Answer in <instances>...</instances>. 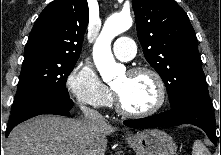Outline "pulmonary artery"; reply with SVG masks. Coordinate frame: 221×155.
<instances>
[{"mask_svg": "<svg viewBox=\"0 0 221 155\" xmlns=\"http://www.w3.org/2000/svg\"><path fill=\"white\" fill-rule=\"evenodd\" d=\"M113 52L119 60L129 61L135 56V43L131 38L122 36L115 41Z\"/></svg>", "mask_w": 221, "mask_h": 155, "instance_id": "pulmonary-artery-1", "label": "pulmonary artery"}]
</instances>
